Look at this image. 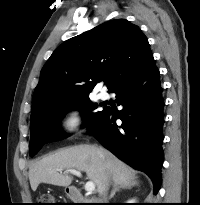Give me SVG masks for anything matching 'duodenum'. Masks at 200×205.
Masks as SVG:
<instances>
[{
    "instance_id": "duodenum-1",
    "label": "duodenum",
    "mask_w": 200,
    "mask_h": 205,
    "mask_svg": "<svg viewBox=\"0 0 200 205\" xmlns=\"http://www.w3.org/2000/svg\"><path fill=\"white\" fill-rule=\"evenodd\" d=\"M67 194L72 201L77 202V203H82L86 201H92V202L96 201V199L88 200L81 193V191L75 187H69L67 190Z\"/></svg>"
}]
</instances>
